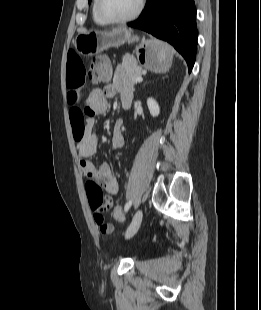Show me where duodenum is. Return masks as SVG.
Segmentation results:
<instances>
[{"instance_id": "obj_1", "label": "duodenum", "mask_w": 261, "mask_h": 310, "mask_svg": "<svg viewBox=\"0 0 261 310\" xmlns=\"http://www.w3.org/2000/svg\"><path fill=\"white\" fill-rule=\"evenodd\" d=\"M131 102H132L131 98H127V97L122 98L123 108L128 109L131 106Z\"/></svg>"}]
</instances>
